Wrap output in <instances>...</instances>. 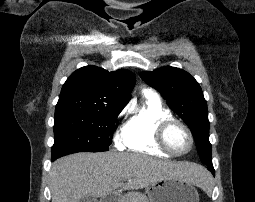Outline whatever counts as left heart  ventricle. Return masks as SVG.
I'll return each instance as SVG.
<instances>
[{
  "label": "left heart ventricle",
  "instance_id": "1",
  "mask_svg": "<svg viewBox=\"0 0 255 202\" xmlns=\"http://www.w3.org/2000/svg\"><path fill=\"white\" fill-rule=\"evenodd\" d=\"M169 146L176 152H184L190 146V140L183 128L180 126L172 127L167 134Z\"/></svg>",
  "mask_w": 255,
  "mask_h": 202
}]
</instances>
